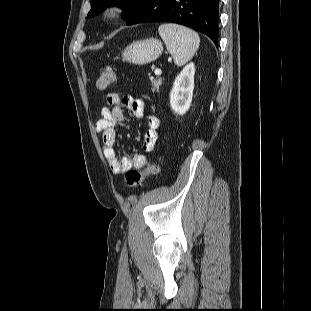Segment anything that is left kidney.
<instances>
[{"mask_svg":"<svg viewBox=\"0 0 311 311\" xmlns=\"http://www.w3.org/2000/svg\"><path fill=\"white\" fill-rule=\"evenodd\" d=\"M195 65L189 63L177 75L170 92V106L172 110L179 114H185L191 105L194 89Z\"/></svg>","mask_w":311,"mask_h":311,"instance_id":"5707ae66","label":"left kidney"}]
</instances>
